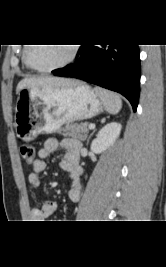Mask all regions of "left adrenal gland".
<instances>
[{
    "label": "left adrenal gland",
    "instance_id": "a2214340",
    "mask_svg": "<svg viewBox=\"0 0 166 267\" xmlns=\"http://www.w3.org/2000/svg\"><path fill=\"white\" fill-rule=\"evenodd\" d=\"M95 130L89 135L87 143H89V139L91 138V136L94 134Z\"/></svg>",
    "mask_w": 166,
    "mask_h": 267
}]
</instances>
